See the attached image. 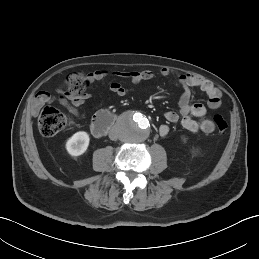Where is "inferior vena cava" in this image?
<instances>
[{"mask_svg": "<svg viewBox=\"0 0 259 259\" xmlns=\"http://www.w3.org/2000/svg\"><path fill=\"white\" fill-rule=\"evenodd\" d=\"M109 137L111 140H116L118 138V134L115 131H111Z\"/></svg>", "mask_w": 259, "mask_h": 259, "instance_id": "602c4592", "label": "inferior vena cava"}]
</instances>
